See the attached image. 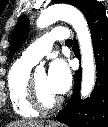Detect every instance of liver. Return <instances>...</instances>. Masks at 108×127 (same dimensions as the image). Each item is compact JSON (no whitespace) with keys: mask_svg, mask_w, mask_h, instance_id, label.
I'll return each mask as SVG.
<instances>
[{"mask_svg":"<svg viewBox=\"0 0 108 127\" xmlns=\"http://www.w3.org/2000/svg\"><path fill=\"white\" fill-rule=\"evenodd\" d=\"M43 121L35 120H17L10 122L6 127H43Z\"/></svg>","mask_w":108,"mask_h":127,"instance_id":"obj_1","label":"liver"}]
</instances>
